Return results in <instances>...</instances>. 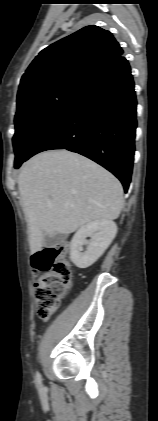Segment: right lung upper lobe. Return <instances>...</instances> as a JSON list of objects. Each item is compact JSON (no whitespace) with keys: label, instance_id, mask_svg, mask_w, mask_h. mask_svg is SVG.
<instances>
[{"label":"right lung upper lobe","instance_id":"right-lung-upper-lobe-1","mask_svg":"<svg viewBox=\"0 0 158 421\" xmlns=\"http://www.w3.org/2000/svg\"><path fill=\"white\" fill-rule=\"evenodd\" d=\"M122 54L112 33L86 26L39 53L21 78L17 101L56 85H84Z\"/></svg>","mask_w":158,"mask_h":421}]
</instances>
